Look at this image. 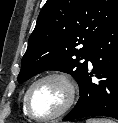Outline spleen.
Here are the masks:
<instances>
[{
    "label": "spleen",
    "instance_id": "obj_1",
    "mask_svg": "<svg viewBox=\"0 0 118 123\" xmlns=\"http://www.w3.org/2000/svg\"><path fill=\"white\" fill-rule=\"evenodd\" d=\"M86 123H116V122L107 118H90L86 120Z\"/></svg>",
    "mask_w": 118,
    "mask_h": 123
}]
</instances>
